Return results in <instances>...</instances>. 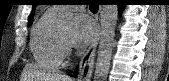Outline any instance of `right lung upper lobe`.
Listing matches in <instances>:
<instances>
[{
    "label": "right lung upper lobe",
    "instance_id": "obj_1",
    "mask_svg": "<svg viewBox=\"0 0 169 81\" xmlns=\"http://www.w3.org/2000/svg\"><path fill=\"white\" fill-rule=\"evenodd\" d=\"M32 20H33V13L29 17V23L32 22Z\"/></svg>",
    "mask_w": 169,
    "mask_h": 81
}]
</instances>
